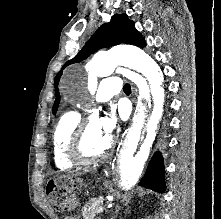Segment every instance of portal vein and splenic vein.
<instances>
[{
  "instance_id": "18ae733b",
  "label": "portal vein and splenic vein",
  "mask_w": 221,
  "mask_h": 219,
  "mask_svg": "<svg viewBox=\"0 0 221 219\" xmlns=\"http://www.w3.org/2000/svg\"><path fill=\"white\" fill-rule=\"evenodd\" d=\"M98 211H99V212H102V211H103V207H100V208L98 209Z\"/></svg>"
}]
</instances>
